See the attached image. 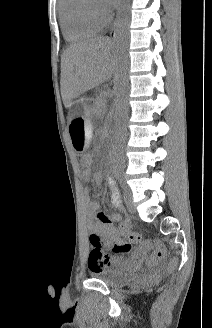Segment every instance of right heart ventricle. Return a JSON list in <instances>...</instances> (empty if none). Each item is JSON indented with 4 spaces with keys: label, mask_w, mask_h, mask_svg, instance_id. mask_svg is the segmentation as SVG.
I'll use <instances>...</instances> for the list:
<instances>
[{
    "label": "right heart ventricle",
    "mask_w": 212,
    "mask_h": 328,
    "mask_svg": "<svg viewBox=\"0 0 212 328\" xmlns=\"http://www.w3.org/2000/svg\"><path fill=\"white\" fill-rule=\"evenodd\" d=\"M89 0H59L60 23L65 38L82 41L100 33L105 23L96 19Z\"/></svg>",
    "instance_id": "e07e8e85"
}]
</instances>
